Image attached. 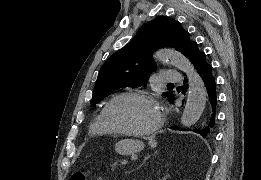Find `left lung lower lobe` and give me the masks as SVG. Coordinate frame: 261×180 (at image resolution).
I'll use <instances>...</instances> for the list:
<instances>
[{
	"label": "left lung lower lobe",
	"instance_id": "obj_1",
	"mask_svg": "<svg viewBox=\"0 0 261 180\" xmlns=\"http://www.w3.org/2000/svg\"><path fill=\"white\" fill-rule=\"evenodd\" d=\"M190 61L193 63L195 69H197L200 77L202 78L208 93L209 100V123L204 129L194 130L203 137H206L210 134L216 116V107H217V93H216V82L215 77L212 72V66L206 61V55L204 52H201L198 49V45H194L189 54ZM172 101V100H171ZM170 101V102H171ZM171 129H176V127H171Z\"/></svg>",
	"mask_w": 261,
	"mask_h": 180
}]
</instances>
